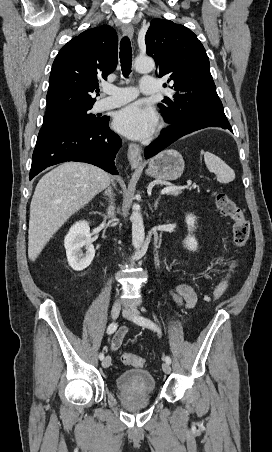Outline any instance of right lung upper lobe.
I'll list each match as a JSON object with an SVG mask.
<instances>
[{"label":"right lung upper lobe","instance_id":"obj_1","mask_svg":"<svg viewBox=\"0 0 272 452\" xmlns=\"http://www.w3.org/2000/svg\"><path fill=\"white\" fill-rule=\"evenodd\" d=\"M117 66V35L110 26L82 32L62 47L49 78L46 114L93 105L91 97Z\"/></svg>","mask_w":272,"mask_h":452}]
</instances>
